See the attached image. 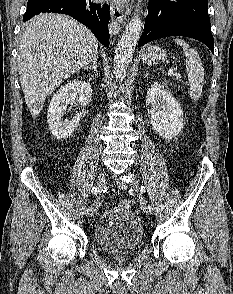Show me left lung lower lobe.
<instances>
[{
  "label": "left lung lower lobe",
  "mask_w": 233,
  "mask_h": 294,
  "mask_svg": "<svg viewBox=\"0 0 233 294\" xmlns=\"http://www.w3.org/2000/svg\"><path fill=\"white\" fill-rule=\"evenodd\" d=\"M167 36L201 41L214 54L207 0H151L138 47Z\"/></svg>",
  "instance_id": "1"
}]
</instances>
